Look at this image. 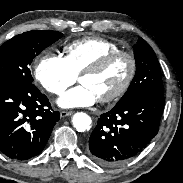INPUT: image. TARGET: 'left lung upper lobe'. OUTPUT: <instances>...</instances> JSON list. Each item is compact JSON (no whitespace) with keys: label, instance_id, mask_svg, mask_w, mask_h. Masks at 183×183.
Returning a JSON list of instances; mask_svg holds the SVG:
<instances>
[{"label":"left lung upper lobe","instance_id":"obj_1","mask_svg":"<svg viewBox=\"0 0 183 183\" xmlns=\"http://www.w3.org/2000/svg\"><path fill=\"white\" fill-rule=\"evenodd\" d=\"M133 48L136 73L127 92L117 104L141 95H164L160 65L153 49L142 38L138 39Z\"/></svg>","mask_w":183,"mask_h":183}]
</instances>
